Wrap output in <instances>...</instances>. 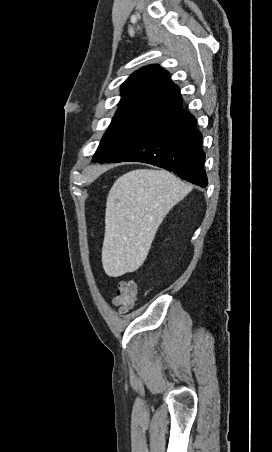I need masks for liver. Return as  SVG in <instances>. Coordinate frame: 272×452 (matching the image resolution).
Returning a JSON list of instances; mask_svg holds the SVG:
<instances>
[{"label":"liver","instance_id":"1","mask_svg":"<svg viewBox=\"0 0 272 452\" xmlns=\"http://www.w3.org/2000/svg\"><path fill=\"white\" fill-rule=\"evenodd\" d=\"M191 189L166 170H132L115 181L106 202L102 247L108 276L142 266L163 219Z\"/></svg>","mask_w":272,"mask_h":452}]
</instances>
